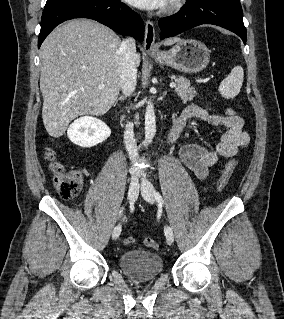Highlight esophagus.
Here are the masks:
<instances>
[{
	"instance_id": "34e87169",
	"label": "esophagus",
	"mask_w": 284,
	"mask_h": 319,
	"mask_svg": "<svg viewBox=\"0 0 284 319\" xmlns=\"http://www.w3.org/2000/svg\"><path fill=\"white\" fill-rule=\"evenodd\" d=\"M156 34L155 27L152 21L147 20L145 23V39H144V50L146 52H156L158 47L155 43Z\"/></svg>"
}]
</instances>
